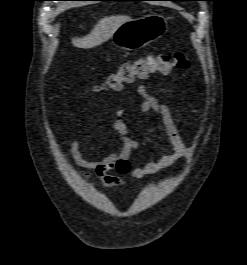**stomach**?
<instances>
[{
  "label": "stomach",
  "instance_id": "0dacf381",
  "mask_svg": "<svg viewBox=\"0 0 247 265\" xmlns=\"http://www.w3.org/2000/svg\"><path fill=\"white\" fill-rule=\"evenodd\" d=\"M167 20L160 14H148L122 24L112 36V43L123 51H137L162 37Z\"/></svg>",
  "mask_w": 247,
  "mask_h": 265
}]
</instances>
